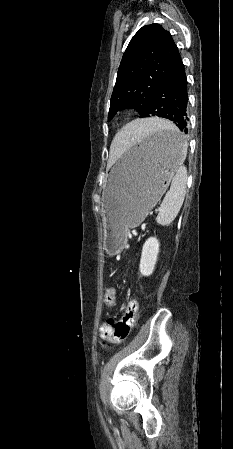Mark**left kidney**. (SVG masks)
I'll use <instances>...</instances> for the list:
<instances>
[{
	"instance_id": "left-kidney-1",
	"label": "left kidney",
	"mask_w": 233,
	"mask_h": 449,
	"mask_svg": "<svg viewBox=\"0 0 233 449\" xmlns=\"http://www.w3.org/2000/svg\"><path fill=\"white\" fill-rule=\"evenodd\" d=\"M159 241L155 237L146 240L142 248L140 259V273L143 276H150L154 269L159 253Z\"/></svg>"
}]
</instances>
